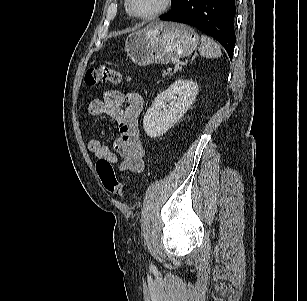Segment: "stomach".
<instances>
[{"instance_id": "1", "label": "stomach", "mask_w": 307, "mask_h": 301, "mask_svg": "<svg viewBox=\"0 0 307 301\" xmlns=\"http://www.w3.org/2000/svg\"><path fill=\"white\" fill-rule=\"evenodd\" d=\"M199 44V36L188 25L174 22H153L131 33L124 51L137 65L166 64L187 57Z\"/></svg>"}]
</instances>
